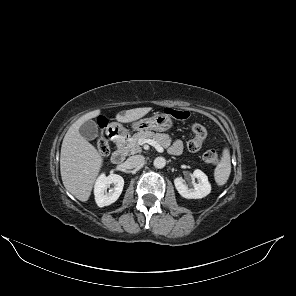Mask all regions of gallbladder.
Wrapping results in <instances>:
<instances>
[{
    "mask_svg": "<svg viewBox=\"0 0 296 296\" xmlns=\"http://www.w3.org/2000/svg\"><path fill=\"white\" fill-rule=\"evenodd\" d=\"M79 132L85 139L93 140L98 136V125L93 120H87L80 126Z\"/></svg>",
    "mask_w": 296,
    "mask_h": 296,
    "instance_id": "bac80fb5",
    "label": "gallbladder"
}]
</instances>
